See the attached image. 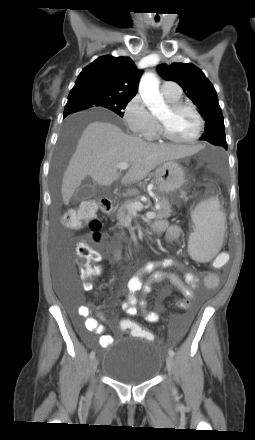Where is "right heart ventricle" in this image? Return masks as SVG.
Returning <instances> with one entry per match:
<instances>
[{
    "label": "right heart ventricle",
    "mask_w": 255,
    "mask_h": 440,
    "mask_svg": "<svg viewBox=\"0 0 255 440\" xmlns=\"http://www.w3.org/2000/svg\"><path fill=\"white\" fill-rule=\"evenodd\" d=\"M164 97H165L166 101H167L169 104H173V103L179 102L180 99H181V96H171V95H169V96H165V95H164Z\"/></svg>",
    "instance_id": "e07e8e85"
}]
</instances>
